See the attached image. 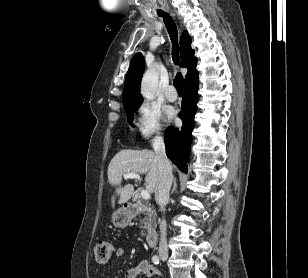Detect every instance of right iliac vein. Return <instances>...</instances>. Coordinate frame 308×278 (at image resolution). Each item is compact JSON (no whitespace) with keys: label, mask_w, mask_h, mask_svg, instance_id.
<instances>
[{"label":"right iliac vein","mask_w":308,"mask_h":278,"mask_svg":"<svg viewBox=\"0 0 308 278\" xmlns=\"http://www.w3.org/2000/svg\"><path fill=\"white\" fill-rule=\"evenodd\" d=\"M159 256H160V258H161L163 261H167V259H168V253H167V251H164V250L160 251V252H159Z\"/></svg>","instance_id":"right-iliac-vein-1"}]
</instances>
